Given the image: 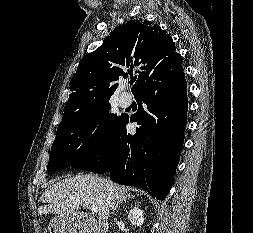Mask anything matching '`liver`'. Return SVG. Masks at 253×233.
<instances>
[{"label": "liver", "instance_id": "obj_1", "mask_svg": "<svg viewBox=\"0 0 253 233\" xmlns=\"http://www.w3.org/2000/svg\"><path fill=\"white\" fill-rule=\"evenodd\" d=\"M128 197V189L109 179L92 174H80L65 178L46 189L40 202L47 203L39 208L42 214H75L81 207L97 206L99 222L108 220L111 209L123 198Z\"/></svg>", "mask_w": 253, "mask_h": 233}]
</instances>
